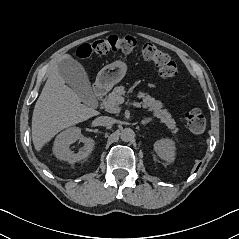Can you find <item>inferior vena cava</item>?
Instances as JSON below:
<instances>
[{
  "label": "inferior vena cava",
  "instance_id": "1",
  "mask_svg": "<svg viewBox=\"0 0 239 239\" xmlns=\"http://www.w3.org/2000/svg\"><path fill=\"white\" fill-rule=\"evenodd\" d=\"M96 121L101 126H111L115 123V119L108 116H100L96 119Z\"/></svg>",
  "mask_w": 239,
  "mask_h": 239
}]
</instances>
